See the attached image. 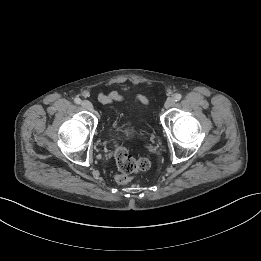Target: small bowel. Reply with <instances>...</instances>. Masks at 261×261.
Wrapping results in <instances>:
<instances>
[{
	"instance_id": "small-bowel-1",
	"label": "small bowel",
	"mask_w": 261,
	"mask_h": 261,
	"mask_svg": "<svg viewBox=\"0 0 261 261\" xmlns=\"http://www.w3.org/2000/svg\"><path fill=\"white\" fill-rule=\"evenodd\" d=\"M99 100L103 104L112 105L114 102L122 101L123 96L116 91H111V92H107V93H101L99 95ZM141 100H143V99H141Z\"/></svg>"
}]
</instances>
